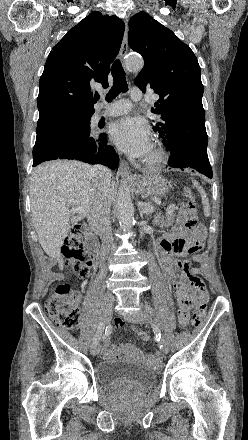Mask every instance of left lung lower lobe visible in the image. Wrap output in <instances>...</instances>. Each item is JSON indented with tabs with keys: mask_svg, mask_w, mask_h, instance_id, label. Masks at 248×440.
Wrapping results in <instances>:
<instances>
[{
	"mask_svg": "<svg viewBox=\"0 0 248 440\" xmlns=\"http://www.w3.org/2000/svg\"><path fill=\"white\" fill-rule=\"evenodd\" d=\"M171 152L168 164L173 168H191L209 178H212V169L209 163L207 150L204 147H195L187 144H177L169 147Z\"/></svg>",
	"mask_w": 248,
	"mask_h": 440,
	"instance_id": "obj_1",
	"label": "left lung lower lobe"
}]
</instances>
